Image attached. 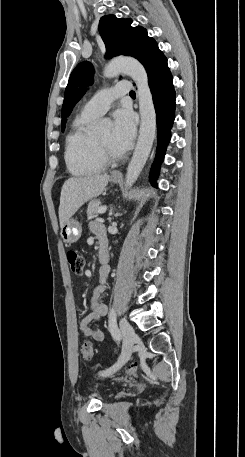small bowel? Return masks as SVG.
Instances as JSON below:
<instances>
[{"label":"small bowel","mask_w":245,"mask_h":457,"mask_svg":"<svg viewBox=\"0 0 245 457\" xmlns=\"http://www.w3.org/2000/svg\"><path fill=\"white\" fill-rule=\"evenodd\" d=\"M92 231L96 235L99 248H107L106 234L103 226L99 223H93ZM109 273L108 267H102L100 269L99 283L93 289L89 300V313L79 323V331L85 335L91 337L93 340L101 342L104 340V332L100 328H94L92 323L96 320H100L107 313V306L102 302V297L106 293L105 282Z\"/></svg>","instance_id":"obj_1"}]
</instances>
